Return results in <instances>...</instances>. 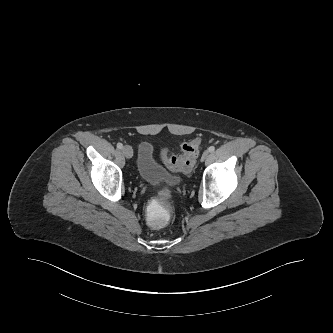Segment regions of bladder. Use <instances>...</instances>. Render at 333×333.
<instances>
[{
    "mask_svg": "<svg viewBox=\"0 0 333 333\" xmlns=\"http://www.w3.org/2000/svg\"><path fill=\"white\" fill-rule=\"evenodd\" d=\"M137 171L141 179L149 183L170 185L177 184L176 175L169 173L154 157L152 143L144 141L139 145Z\"/></svg>",
    "mask_w": 333,
    "mask_h": 333,
    "instance_id": "31cf9c89",
    "label": "bladder"
}]
</instances>
